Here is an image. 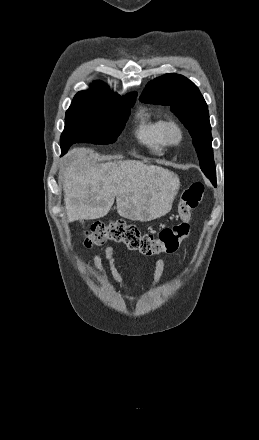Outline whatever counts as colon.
<instances>
[{
  "label": "colon",
  "mask_w": 259,
  "mask_h": 440,
  "mask_svg": "<svg viewBox=\"0 0 259 440\" xmlns=\"http://www.w3.org/2000/svg\"><path fill=\"white\" fill-rule=\"evenodd\" d=\"M203 195L202 183H193L186 187L178 204L179 221L172 227L161 230L158 235L141 232L137 227L123 221L96 222L85 233L83 244L90 248L113 241L123 243L145 256L173 254L189 236L192 211L201 202Z\"/></svg>",
  "instance_id": "5ec220e1"
}]
</instances>
